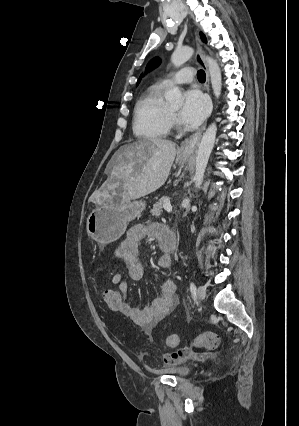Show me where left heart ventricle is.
<instances>
[{"mask_svg":"<svg viewBox=\"0 0 299 426\" xmlns=\"http://www.w3.org/2000/svg\"><path fill=\"white\" fill-rule=\"evenodd\" d=\"M172 110H173L174 112H177V111L179 110V106L173 107V108H172Z\"/></svg>","mask_w":299,"mask_h":426,"instance_id":"b2bd125f","label":"left heart ventricle"}]
</instances>
